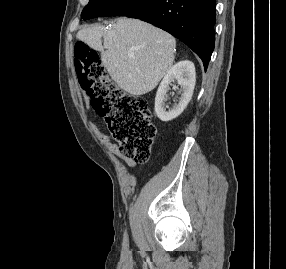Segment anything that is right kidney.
Returning a JSON list of instances; mask_svg holds the SVG:
<instances>
[{
	"mask_svg": "<svg viewBox=\"0 0 286 269\" xmlns=\"http://www.w3.org/2000/svg\"><path fill=\"white\" fill-rule=\"evenodd\" d=\"M174 80H177L181 87L180 98L171 110L166 111L167 91L169 85ZM196 82V73L194 64L191 61L185 60L176 63L164 76L156 93L155 98V113L161 121L167 122L178 117L186 108L193 95ZM176 89V87H174Z\"/></svg>",
	"mask_w": 286,
	"mask_h": 269,
	"instance_id": "obj_1",
	"label": "right kidney"
}]
</instances>
